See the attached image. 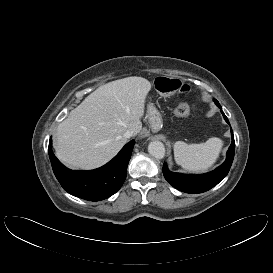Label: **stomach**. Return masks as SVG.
<instances>
[{
  "label": "stomach",
  "mask_w": 273,
  "mask_h": 273,
  "mask_svg": "<svg viewBox=\"0 0 273 273\" xmlns=\"http://www.w3.org/2000/svg\"><path fill=\"white\" fill-rule=\"evenodd\" d=\"M173 78L168 76H157L154 78V88L158 94L163 97H168L176 92L173 86ZM147 118L153 131H158L162 127V116L153 103L147 106Z\"/></svg>",
  "instance_id": "obj_1"
}]
</instances>
